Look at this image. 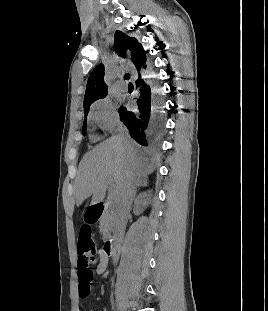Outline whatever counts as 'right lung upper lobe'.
Wrapping results in <instances>:
<instances>
[{
	"mask_svg": "<svg viewBox=\"0 0 268 311\" xmlns=\"http://www.w3.org/2000/svg\"><path fill=\"white\" fill-rule=\"evenodd\" d=\"M116 52L121 57H126V51L131 52V61L139 71L146 63V53L142 45L133 37H129L121 31L115 33ZM145 67V66H144ZM107 95V85L104 83V65L99 64L90 74L84 96V112L90 105Z\"/></svg>",
	"mask_w": 268,
	"mask_h": 311,
	"instance_id": "1",
	"label": "right lung upper lobe"
}]
</instances>
